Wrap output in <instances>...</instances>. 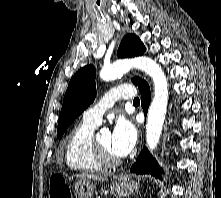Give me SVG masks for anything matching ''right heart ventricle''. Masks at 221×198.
Wrapping results in <instances>:
<instances>
[{
  "label": "right heart ventricle",
  "instance_id": "obj_1",
  "mask_svg": "<svg viewBox=\"0 0 221 198\" xmlns=\"http://www.w3.org/2000/svg\"><path fill=\"white\" fill-rule=\"evenodd\" d=\"M97 125L85 120L78 123L65 141V162L73 170L96 172L102 164L96 157L92 139Z\"/></svg>",
  "mask_w": 221,
  "mask_h": 198
}]
</instances>
